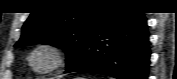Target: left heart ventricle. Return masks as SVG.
Returning <instances> with one entry per match:
<instances>
[{
	"instance_id": "1",
	"label": "left heart ventricle",
	"mask_w": 177,
	"mask_h": 79,
	"mask_svg": "<svg viewBox=\"0 0 177 79\" xmlns=\"http://www.w3.org/2000/svg\"><path fill=\"white\" fill-rule=\"evenodd\" d=\"M53 61V54L48 50H41L32 57L33 66L40 70L49 68Z\"/></svg>"
}]
</instances>
